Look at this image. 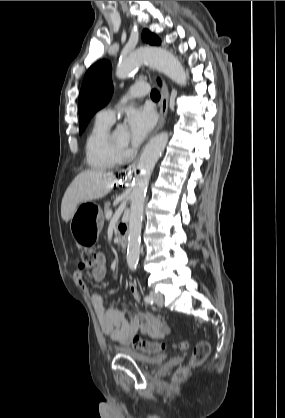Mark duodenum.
<instances>
[{
	"label": "duodenum",
	"mask_w": 285,
	"mask_h": 418,
	"mask_svg": "<svg viewBox=\"0 0 285 418\" xmlns=\"http://www.w3.org/2000/svg\"><path fill=\"white\" fill-rule=\"evenodd\" d=\"M126 234V228L124 226H119L118 227V236L120 238L124 237V235ZM122 248L125 250L126 249V243H122Z\"/></svg>",
	"instance_id": "obj_1"
}]
</instances>
